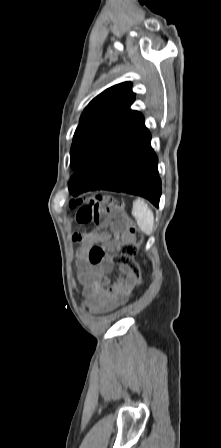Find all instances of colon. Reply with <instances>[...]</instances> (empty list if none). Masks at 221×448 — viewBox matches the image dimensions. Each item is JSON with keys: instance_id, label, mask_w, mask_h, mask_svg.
<instances>
[{"instance_id": "1", "label": "colon", "mask_w": 221, "mask_h": 448, "mask_svg": "<svg viewBox=\"0 0 221 448\" xmlns=\"http://www.w3.org/2000/svg\"><path fill=\"white\" fill-rule=\"evenodd\" d=\"M72 208H77L76 220L81 225L110 224L125 226L129 239L110 249V253L101 245L91 246L86 259L91 264H99L110 259L114 264L124 267L132 276L134 284L141 285V268L135 259L142 242V235L131 219L121 212V203L109 195L99 194L87 202L72 201Z\"/></svg>"}]
</instances>
